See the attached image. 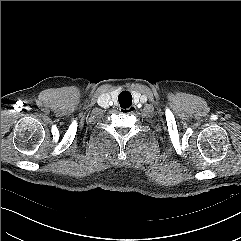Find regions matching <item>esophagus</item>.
<instances>
[{"instance_id":"34e87169","label":"esophagus","mask_w":241,"mask_h":241,"mask_svg":"<svg viewBox=\"0 0 241 241\" xmlns=\"http://www.w3.org/2000/svg\"><path fill=\"white\" fill-rule=\"evenodd\" d=\"M135 110H136V106L135 105H131L128 108L121 109L122 112H125L127 114H132Z\"/></svg>"}]
</instances>
